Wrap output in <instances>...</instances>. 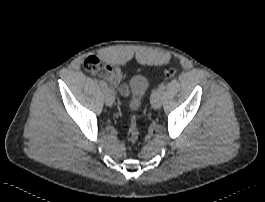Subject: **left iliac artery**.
<instances>
[{"mask_svg": "<svg viewBox=\"0 0 265 202\" xmlns=\"http://www.w3.org/2000/svg\"><path fill=\"white\" fill-rule=\"evenodd\" d=\"M165 88H166V84L161 83L160 86L158 87V89H156L152 92L151 99L154 97L155 94H161L162 95L164 93Z\"/></svg>", "mask_w": 265, "mask_h": 202, "instance_id": "44dca946", "label": "left iliac artery"}]
</instances>
